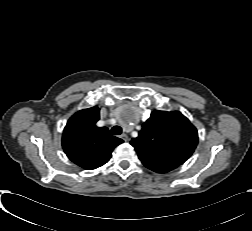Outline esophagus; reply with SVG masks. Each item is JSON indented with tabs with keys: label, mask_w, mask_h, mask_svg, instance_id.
Segmentation results:
<instances>
[{
	"label": "esophagus",
	"mask_w": 252,
	"mask_h": 231,
	"mask_svg": "<svg viewBox=\"0 0 252 231\" xmlns=\"http://www.w3.org/2000/svg\"><path fill=\"white\" fill-rule=\"evenodd\" d=\"M120 137H121L124 141H128V140H129L127 134H125V133L122 134Z\"/></svg>",
	"instance_id": "obj_1"
}]
</instances>
